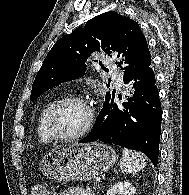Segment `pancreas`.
Masks as SVG:
<instances>
[{"instance_id":"1","label":"pancreas","mask_w":189,"mask_h":195,"mask_svg":"<svg viewBox=\"0 0 189 195\" xmlns=\"http://www.w3.org/2000/svg\"><path fill=\"white\" fill-rule=\"evenodd\" d=\"M95 187H99V185H95Z\"/></svg>"}]
</instances>
